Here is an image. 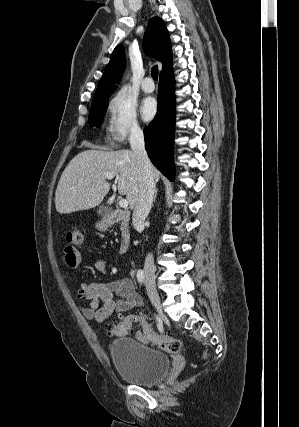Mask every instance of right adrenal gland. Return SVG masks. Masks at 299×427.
<instances>
[{
    "instance_id": "2a0ac1e0",
    "label": "right adrenal gland",
    "mask_w": 299,
    "mask_h": 427,
    "mask_svg": "<svg viewBox=\"0 0 299 427\" xmlns=\"http://www.w3.org/2000/svg\"><path fill=\"white\" fill-rule=\"evenodd\" d=\"M156 196H157V190L155 191V194H154V198H153L154 202H155Z\"/></svg>"
}]
</instances>
